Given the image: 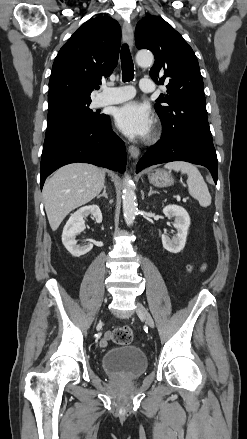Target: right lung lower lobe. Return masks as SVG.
<instances>
[{"instance_id":"98d812e1","label":"right lung lower lobe","mask_w":247,"mask_h":439,"mask_svg":"<svg viewBox=\"0 0 247 439\" xmlns=\"http://www.w3.org/2000/svg\"><path fill=\"white\" fill-rule=\"evenodd\" d=\"M85 162L123 173L126 167L124 142L113 132L109 116L90 126L65 129L45 137L41 156L40 186L56 169Z\"/></svg>"}]
</instances>
